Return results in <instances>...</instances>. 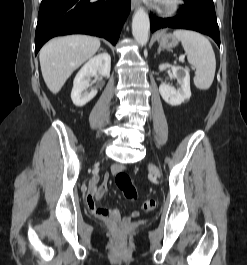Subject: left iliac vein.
<instances>
[{
    "label": "left iliac vein",
    "mask_w": 247,
    "mask_h": 265,
    "mask_svg": "<svg viewBox=\"0 0 247 265\" xmlns=\"http://www.w3.org/2000/svg\"><path fill=\"white\" fill-rule=\"evenodd\" d=\"M149 169L156 176H160V171H159V169L155 165L150 164Z\"/></svg>",
    "instance_id": "1"
}]
</instances>
